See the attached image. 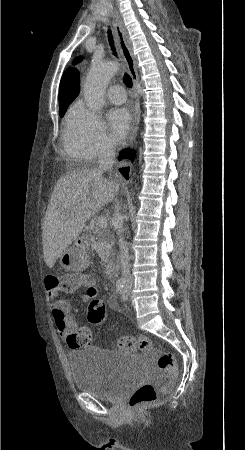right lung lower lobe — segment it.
Segmentation results:
<instances>
[{"label": "right lung lower lobe", "instance_id": "1", "mask_svg": "<svg viewBox=\"0 0 245 450\" xmlns=\"http://www.w3.org/2000/svg\"><path fill=\"white\" fill-rule=\"evenodd\" d=\"M130 153H131L130 150L126 149L125 151L120 153L119 159L121 160L122 158H127ZM130 160L133 161V155H131ZM121 173L126 179H128V177H129V168H123L121 170Z\"/></svg>", "mask_w": 245, "mask_h": 450}]
</instances>
